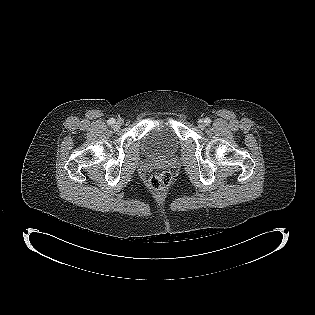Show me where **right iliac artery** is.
<instances>
[{
    "label": "right iliac artery",
    "mask_w": 315,
    "mask_h": 315,
    "mask_svg": "<svg viewBox=\"0 0 315 315\" xmlns=\"http://www.w3.org/2000/svg\"><path fill=\"white\" fill-rule=\"evenodd\" d=\"M114 123H115V119L114 118H111V119L108 120V124L109 125H112Z\"/></svg>",
    "instance_id": "right-iliac-artery-1"
}]
</instances>
